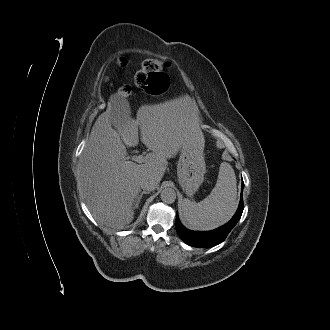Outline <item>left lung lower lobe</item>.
<instances>
[{"mask_svg":"<svg viewBox=\"0 0 330 330\" xmlns=\"http://www.w3.org/2000/svg\"><path fill=\"white\" fill-rule=\"evenodd\" d=\"M243 182H242V189H243ZM244 209L243 205V197L241 193L240 204L238 210L232 217V219L225 225L212 230V231H191L186 229L180 222L178 214L176 216V230L181 237V239L188 245L193 247H202V248H209L215 245L220 244L225 240L229 232L232 228L237 224L239 219L241 218L242 212Z\"/></svg>","mask_w":330,"mask_h":330,"instance_id":"obj_1","label":"left lung lower lobe"}]
</instances>
